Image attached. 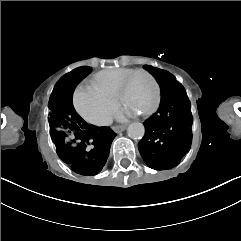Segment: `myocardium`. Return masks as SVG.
Masks as SVG:
<instances>
[{
	"label": "myocardium",
	"mask_w": 241,
	"mask_h": 241,
	"mask_svg": "<svg viewBox=\"0 0 241 241\" xmlns=\"http://www.w3.org/2000/svg\"><path fill=\"white\" fill-rule=\"evenodd\" d=\"M144 73H145V77L148 79V81L154 85V90L158 91V93L156 92L157 94L154 97V102L152 103V106L149 109H147L146 111L142 112V116L146 117L147 114H150L151 112H153L156 109V107L158 105V101L161 98V95L163 94V89L159 88L161 86V83L158 82L157 80H154V78L151 77L152 75L147 73V71H145L144 69L138 68V69L130 70L126 74H124L116 86L117 87L116 96L119 101H121V102L124 101L125 100V98L123 97L124 87L128 84V82L131 79H134L136 77H141L144 75Z\"/></svg>",
	"instance_id": "f54148a6"
}]
</instances>
